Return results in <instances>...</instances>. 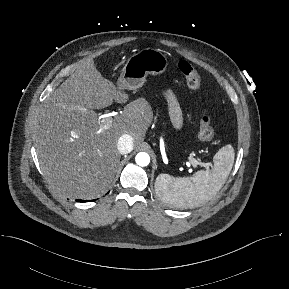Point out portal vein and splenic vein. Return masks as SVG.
<instances>
[{"label": "portal vein and splenic vein", "instance_id": "18ae733b", "mask_svg": "<svg viewBox=\"0 0 289 289\" xmlns=\"http://www.w3.org/2000/svg\"><path fill=\"white\" fill-rule=\"evenodd\" d=\"M112 120H113L112 115L107 114L103 117V119L101 120V123L104 128H108L111 125ZM189 162L194 168H196L199 165V166L205 167L206 169H209V167L211 166V163H205V162H202L201 160H196L193 157L189 158Z\"/></svg>", "mask_w": 289, "mask_h": 289}]
</instances>
